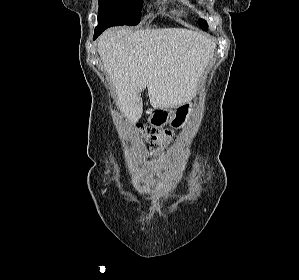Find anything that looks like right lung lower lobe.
Listing matches in <instances>:
<instances>
[{
	"label": "right lung lower lobe",
	"mask_w": 299,
	"mask_h": 280,
	"mask_svg": "<svg viewBox=\"0 0 299 280\" xmlns=\"http://www.w3.org/2000/svg\"><path fill=\"white\" fill-rule=\"evenodd\" d=\"M111 26H117L114 19L98 15V26L95 28L93 39H96L105 29Z\"/></svg>",
	"instance_id": "98d812e1"
}]
</instances>
